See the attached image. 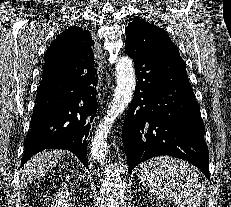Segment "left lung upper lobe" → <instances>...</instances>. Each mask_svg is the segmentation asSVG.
<instances>
[{
	"instance_id": "5c2ea615",
	"label": "left lung upper lobe",
	"mask_w": 231,
	"mask_h": 207,
	"mask_svg": "<svg viewBox=\"0 0 231 207\" xmlns=\"http://www.w3.org/2000/svg\"><path fill=\"white\" fill-rule=\"evenodd\" d=\"M125 47L131 53L147 52L165 57H180L176 45L164 29L139 17L126 28Z\"/></svg>"
}]
</instances>
